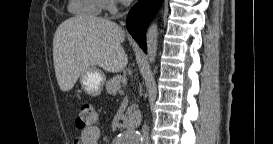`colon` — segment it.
<instances>
[{
    "label": "colon",
    "mask_w": 273,
    "mask_h": 144,
    "mask_svg": "<svg viewBox=\"0 0 273 144\" xmlns=\"http://www.w3.org/2000/svg\"><path fill=\"white\" fill-rule=\"evenodd\" d=\"M98 122V113L93 104L83 103L76 116L75 124L80 130L94 127Z\"/></svg>",
    "instance_id": "obj_1"
}]
</instances>
